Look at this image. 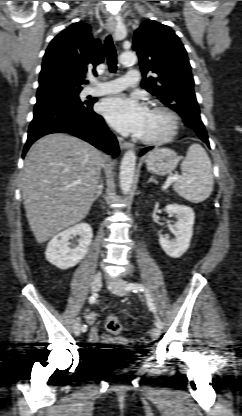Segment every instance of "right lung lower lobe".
Wrapping results in <instances>:
<instances>
[{
	"label": "right lung lower lobe",
	"instance_id": "98d812e1",
	"mask_svg": "<svg viewBox=\"0 0 242 416\" xmlns=\"http://www.w3.org/2000/svg\"><path fill=\"white\" fill-rule=\"evenodd\" d=\"M93 103L66 97L38 99L23 156L31 144L40 137L50 133L67 132L116 157L119 153L117 140L104 119L93 111Z\"/></svg>",
	"mask_w": 242,
	"mask_h": 416
}]
</instances>
